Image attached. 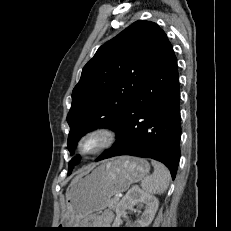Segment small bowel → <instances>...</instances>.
Segmentation results:
<instances>
[{
	"label": "small bowel",
	"mask_w": 231,
	"mask_h": 231,
	"mask_svg": "<svg viewBox=\"0 0 231 231\" xmlns=\"http://www.w3.org/2000/svg\"><path fill=\"white\" fill-rule=\"evenodd\" d=\"M113 217H114L113 212L107 210V211H104L100 215L99 220H100L101 224H109L112 221Z\"/></svg>",
	"instance_id": "1"
}]
</instances>
